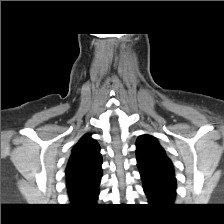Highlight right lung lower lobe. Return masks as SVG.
<instances>
[{
	"instance_id": "98d812e1",
	"label": "right lung lower lobe",
	"mask_w": 224,
	"mask_h": 224,
	"mask_svg": "<svg viewBox=\"0 0 224 224\" xmlns=\"http://www.w3.org/2000/svg\"><path fill=\"white\" fill-rule=\"evenodd\" d=\"M99 193V192H98ZM98 193L95 195V196H93L90 200H89V202H93L96 198H97V196H98ZM86 199V198H85ZM83 201H86V200H84V199H81V200H78V201H74V202H83Z\"/></svg>"
}]
</instances>
